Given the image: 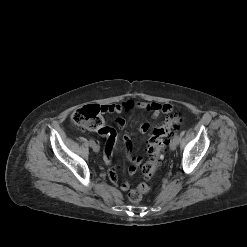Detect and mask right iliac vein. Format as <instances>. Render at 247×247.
I'll use <instances>...</instances> for the list:
<instances>
[{"mask_svg":"<svg viewBox=\"0 0 247 247\" xmlns=\"http://www.w3.org/2000/svg\"><path fill=\"white\" fill-rule=\"evenodd\" d=\"M91 147H92V149H93L94 152H99V150H100L99 145L96 144V143L92 144Z\"/></svg>","mask_w":247,"mask_h":247,"instance_id":"1","label":"right iliac vein"}]
</instances>
